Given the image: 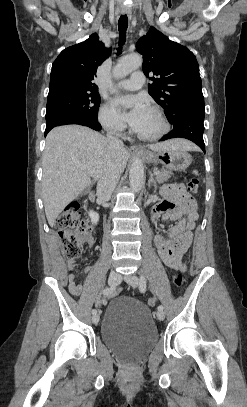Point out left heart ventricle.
Returning a JSON list of instances; mask_svg holds the SVG:
<instances>
[{
  "label": "left heart ventricle",
  "instance_id": "1",
  "mask_svg": "<svg viewBox=\"0 0 247 407\" xmlns=\"http://www.w3.org/2000/svg\"><path fill=\"white\" fill-rule=\"evenodd\" d=\"M162 128L159 118L150 110L144 115L140 123L134 128L139 134L142 135H155Z\"/></svg>",
  "mask_w": 247,
  "mask_h": 407
}]
</instances>
